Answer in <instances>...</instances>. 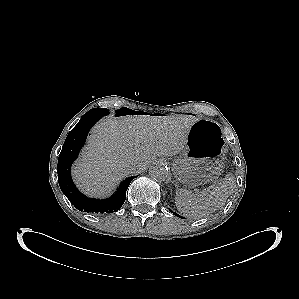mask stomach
I'll use <instances>...</instances> for the list:
<instances>
[{
	"instance_id": "obj_1",
	"label": "stomach",
	"mask_w": 299,
	"mask_h": 299,
	"mask_svg": "<svg viewBox=\"0 0 299 299\" xmlns=\"http://www.w3.org/2000/svg\"><path fill=\"white\" fill-rule=\"evenodd\" d=\"M224 142L218 123L198 119L188 132L181 156L173 162L175 177L192 186L214 181L223 169Z\"/></svg>"
}]
</instances>
